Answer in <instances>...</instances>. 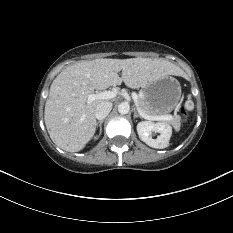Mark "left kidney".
I'll list each match as a JSON object with an SVG mask.
<instances>
[{"label": "left kidney", "instance_id": "obj_1", "mask_svg": "<svg viewBox=\"0 0 233 233\" xmlns=\"http://www.w3.org/2000/svg\"><path fill=\"white\" fill-rule=\"evenodd\" d=\"M152 132L160 133V135L156 139H153ZM137 133L139 138L148 146L156 149H164L169 144L172 128L165 123L141 121L137 124Z\"/></svg>", "mask_w": 233, "mask_h": 233}]
</instances>
